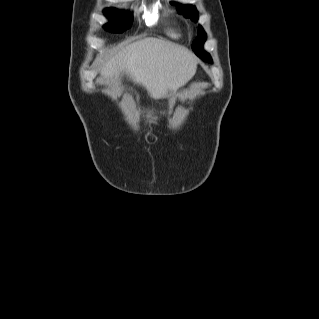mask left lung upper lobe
<instances>
[{"label": "left lung upper lobe", "mask_w": 319, "mask_h": 319, "mask_svg": "<svg viewBox=\"0 0 319 319\" xmlns=\"http://www.w3.org/2000/svg\"><path fill=\"white\" fill-rule=\"evenodd\" d=\"M173 5L177 6V10L184 14L186 17L191 18L193 21H197L198 19V12L196 10L195 6L192 5H180L178 3H172ZM206 40V33L203 30V28L201 26H199L198 28V37L194 40L192 48L193 51L198 55L203 54L207 57L208 62H211V57L208 53H206L203 49H202V45Z\"/></svg>", "instance_id": "obj_1"}]
</instances>
